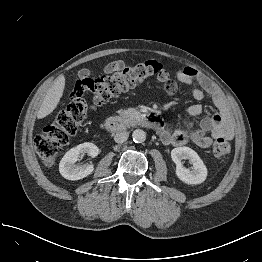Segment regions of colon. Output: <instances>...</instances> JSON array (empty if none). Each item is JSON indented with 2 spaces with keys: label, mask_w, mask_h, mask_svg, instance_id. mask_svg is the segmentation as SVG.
Returning <instances> with one entry per match:
<instances>
[{
  "label": "colon",
  "mask_w": 262,
  "mask_h": 262,
  "mask_svg": "<svg viewBox=\"0 0 262 262\" xmlns=\"http://www.w3.org/2000/svg\"><path fill=\"white\" fill-rule=\"evenodd\" d=\"M152 77L161 82L169 80L163 64L155 60L132 65L113 62L104 68V73L99 77L92 76L89 70L79 71L73 84L75 95L33 140L43 163L53 165L69 137L79 130L85 116V104L81 98L83 94L91 95L94 106H101L112 96ZM230 152L231 144L225 139L220 138L213 143L212 155L215 159L225 162Z\"/></svg>",
  "instance_id": "colon-1"
}]
</instances>
